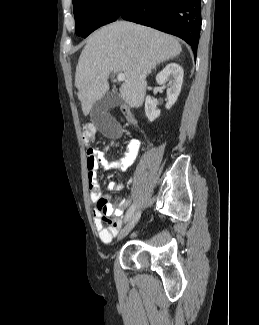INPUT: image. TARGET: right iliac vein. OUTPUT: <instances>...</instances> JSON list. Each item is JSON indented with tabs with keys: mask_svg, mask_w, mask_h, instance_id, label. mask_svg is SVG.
<instances>
[{
	"mask_svg": "<svg viewBox=\"0 0 259 325\" xmlns=\"http://www.w3.org/2000/svg\"><path fill=\"white\" fill-rule=\"evenodd\" d=\"M141 216V211H136L131 218L129 219L128 223L125 225V227L121 230L118 240L123 239L125 236L129 234V232L134 228V226L137 224Z\"/></svg>",
	"mask_w": 259,
	"mask_h": 325,
	"instance_id": "63e3f726",
	"label": "right iliac vein"
}]
</instances>
